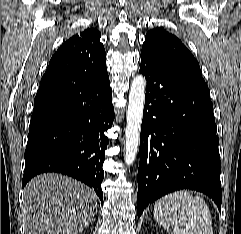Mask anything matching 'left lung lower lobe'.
Wrapping results in <instances>:
<instances>
[{
	"mask_svg": "<svg viewBox=\"0 0 241 234\" xmlns=\"http://www.w3.org/2000/svg\"><path fill=\"white\" fill-rule=\"evenodd\" d=\"M147 80L140 135L137 214L163 195L192 189L221 210L219 138L205 81L141 53Z\"/></svg>",
	"mask_w": 241,
	"mask_h": 234,
	"instance_id": "left-lung-lower-lobe-1",
	"label": "left lung lower lobe"
}]
</instances>
